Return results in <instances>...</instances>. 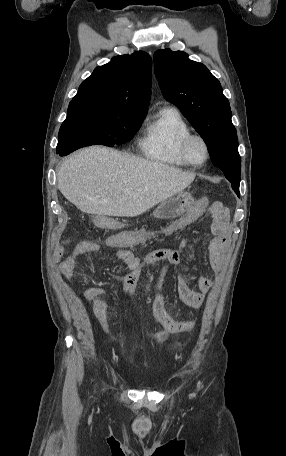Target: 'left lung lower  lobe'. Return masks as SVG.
Masks as SVG:
<instances>
[{
    "label": "left lung lower lobe",
    "mask_w": 286,
    "mask_h": 456,
    "mask_svg": "<svg viewBox=\"0 0 286 456\" xmlns=\"http://www.w3.org/2000/svg\"><path fill=\"white\" fill-rule=\"evenodd\" d=\"M232 184V188L233 190L235 191V193L239 196V184H236V183H231Z\"/></svg>",
    "instance_id": "left-lung-lower-lobe-1"
}]
</instances>
